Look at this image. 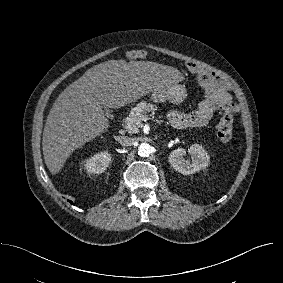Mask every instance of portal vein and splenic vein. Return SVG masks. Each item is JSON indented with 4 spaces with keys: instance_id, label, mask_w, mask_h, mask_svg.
Wrapping results in <instances>:
<instances>
[{
    "instance_id": "18ae733b",
    "label": "portal vein and splenic vein",
    "mask_w": 283,
    "mask_h": 283,
    "mask_svg": "<svg viewBox=\"0 0 283 283\" xmlns=\"http://www.w3.org/2000/svg\"><path fill=\"white\" fill-rule=\"evenodd\" d=\"M147 119H148V117L146 115L140 116V120L141 121H146Z\"/></svg>"
}]
</instances>
